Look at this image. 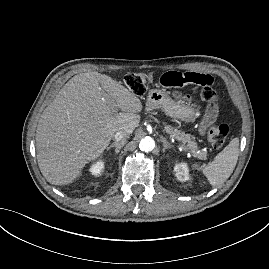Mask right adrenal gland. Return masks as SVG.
<instances>
[{
    "mask_svg": "<svg viewBox=\"0 0 269 269\" xmlns=\"http://www.w3.org/2000/svg\"><path fill=\"white\" fill-rule=\"evenodd\" d=\"M126 144V142H120V143H112L110 146L106 148L107 151H109L111 148H115V153L118 154L120 149Z\"/></svg>",
    "mask_w": 269,
    "mask_h": 269,
    "instance_id": "obj_1",
    "label": "right adrenal gland"
}]
</instances>
